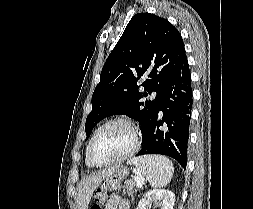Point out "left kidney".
Listing matches in <instances>:
<instances>
[{
    "mask_svg": "<svg viewBox=\"0 0 253 209\" xmlns=\"http://www.w3.org/2000/svg\"><path fill=\"white\" fill-rule=\"evenodd\" d=\"M175 195L166 189H153L148 191L140 200L137 209H148L155 204L159 209H173Z\"/></svg>",
    "mask_w": 253,
    "mask_h": 209,
    "instance_id": "obj_1",
    "label": "left kidney"
}]
</instances>
